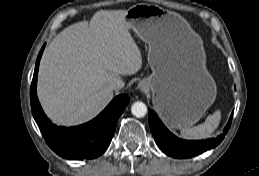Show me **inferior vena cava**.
Listing matches in <instances>:
<instances>
[{
	"mask_svg": "<svg viewBox=\"0 0 259 176\" xmlns=\"http://www.w3.org/2000/svg\"><path fill=\"white\" fill-rule=\"evenodd\" d=\"M125 83L122 79L117 78L111 82L110 86L113 90H120L124 87Z\"/></svg>",
	"mask_w": 259,
	"mask_h": 176,
	"instance_id": "602c4592",
	"label": "inferior vena cava"
}]
</instances>
